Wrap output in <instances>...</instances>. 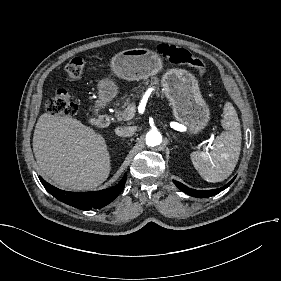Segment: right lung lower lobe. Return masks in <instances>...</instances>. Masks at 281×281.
Wrapping results in <instances>:
<instances>
[{
    "label": "right lung lower lobe",
    "mask_w": 281,
    "mask_h": 281,
    "mask_svg": "<svg viewBox=\"0 0 281 281\" xmlns=\"http://www.w3.org/2000/svg\"><path fill=\"white\" fill-rule=\"evenodd\" d=\"M127 174L115 186L92 192H68L53 187L39 177L45 189L58 200L81 210L100 208L112 202L123 190Z\"/></svg>",
    "instance_id": "right-lung-lower-lobe-1"
}]
</instances>
